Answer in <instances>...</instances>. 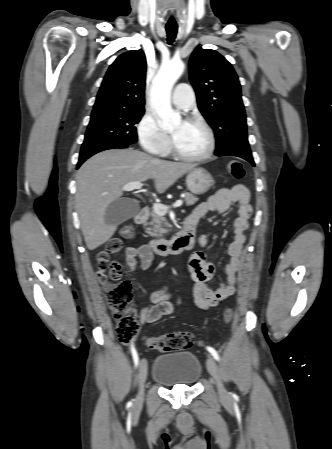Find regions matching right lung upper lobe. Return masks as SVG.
I'll list each match as a JSON object with an SVG mask.
<instances>
[{
  "label": "right lung upper lobe",
  "mask_w": 332,
  "mask_h": 449,
  "mask_svg": "<svg viewBox=\"0 0 332 449\" xmlns=\"http://www.w3.org/2000/svg\"><path fill=\"white\" fill-rule=\"evenodd\" d=\"M146 58L142 50L120 55L109 67L92 114L118 110H144Z\"/></svg>",
  "instance_id": "obj_1"
}]
</instances>
